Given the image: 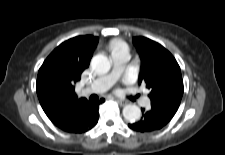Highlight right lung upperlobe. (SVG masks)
<instances>
[{
	"mask_svg": "<svg viewBox=\"0 0 225 155\" xmlns=\"http://www.w3.org/2000/svg\"><path fill=\"white\" fill-rule=\"evenodd\" d=\"M98 37L78 36L60 44L44 61L38 72L36 91L40 104L53 122L63 112L87 102L78 99L75 83L89 66Z\"/></svg>",
	"mask_w": 225,
	"mask_h": 155,
	"instance_id": "obj_1",
	"label": "right lung upper lobe"
}]
</instances>
